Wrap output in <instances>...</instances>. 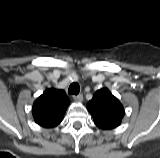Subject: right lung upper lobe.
Masks as SVG:
<instances>
[{
    "instance_id": "cb5924a9",
    "label": "right lung upper lobe",
    "mask_w": 160,
    "mask_h": 158,
    "mask_svg": "<svg viewBox=\"0 0 160 158\" xmlns=\"http://www.w3.org/2000/svg\"><path fill=\"white\" fill-rule=\"evenodd\" d=\"M70 100L63 90L47 89L33 104L32 113L37 124L52 128L60 124Z\"/></svg>"
}]
</instances>
